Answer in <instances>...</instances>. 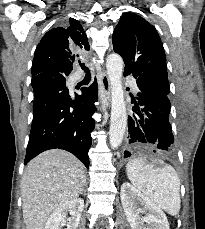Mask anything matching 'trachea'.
<instances>
[{"mask_svg": "<svg viewBox=\"0 0 205 229\" xmlns=\"http://www.w3.org/2000/svg\"><path fill=\"white\" fill-rule=\"evenodd\" d=\"M81 68L86 72L85 77L90 78L91 77L90 70L87 67H85L84 65H81Z\"/></svg>", "mask_w": 205, "mask_h": 229, "instance_id": "obj_1", "label": "trachea"}]
</instances>
